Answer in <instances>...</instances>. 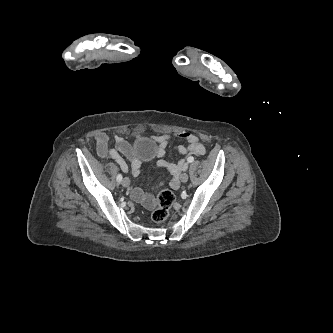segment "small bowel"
<instances>
[{
  "label": "small bowel",
  "mask_w": 333,
  "mask_h": 333,
  "mask_svg": "<svg viewBox=\"0 0 333 333\" xmlns=\"http://www.w3.org/2000/svg\"><path fill=\"white\" fill-rule=\"evenodd\" d=\"M177 136L186 143L185 145H179L177 148L178 152L186 156V158L181 159L176 164L168 163L162 159L172 137L170 135L154 136L155 141L158 143L156 157L159 158V160L157 161V166L166 168L170 172L172 175L170 186L174 189L178 186V178L180 173L184 170L185 167L188 166L187 160L193 156L204 155L206 152L204 145L199 141V138L196 135L184 132ZM95 142L97 154L99 157L112 158L118 163L123 172L131 171L133 176H140L142 160L135 153L131 144L123 137L115 136V146L110 148L108 135L104 132H99L95 136ZM122 155L126 157L127 161ZM131 196L135 201L141 202L146 206H152L154 204L153 195L144 193L140 188H134L131 192Z\"/></svg>",
  "instance_id": "c3829d8e"
}]
</instances>
